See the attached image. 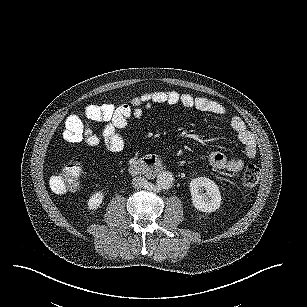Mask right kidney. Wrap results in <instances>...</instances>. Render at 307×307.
Here are the masks:
<instances>
[{
    "label": "right kidney",
    "mask_w": 307,
    "mask_h": 307,
    "mask_svg": "<svg viewBox=\"0 0 307 307\" xmlns=\"http://www.w3.org/2000/svg\"><path fill=\"white\" fill-rule=\"evenodd\" d=\"M103 195L101 193L94 194L88 201V206L91 209H96L100 206L102 202Z\"/></svg>",
    "instance_id": "right-kidney-1"
}]
</instances>
